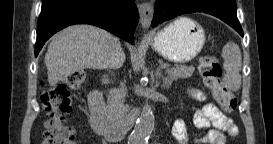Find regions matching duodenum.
Listing matches in <instances>:
<instances>
[{
  "mask_svg": "<svg viewBox=\"0 0 273 144\" xmlns=\"http://www.w3.org/2000/svg\"><path fill=\"white\" fill-rule=\"evenodd\" d=\"M138 112L131 115L132 120H136ZM89 124L94 133L109 142H118L126 134V124H117L111 121L105 111L102 92L98 88L91 90L89 94Z\"/></svg>",
  "mask_w": 273,
  "mask_h": 144,
  "instance_id": "obj_1",
  "label": "duodenum"
}]
</instances>
